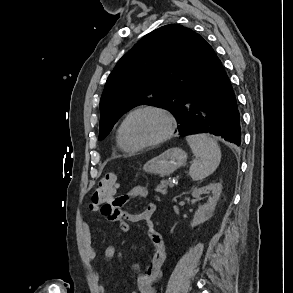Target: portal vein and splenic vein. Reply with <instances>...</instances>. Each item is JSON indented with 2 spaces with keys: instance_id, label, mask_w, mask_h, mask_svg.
<instances>
[{
  "instance_id": "1",
  "label": "portal vein and splenic vein",
  "mask_w": 293,
  "mask_h": 293,
  "mask_svg": "<svg viewBox=\"0 0 293 293\" xmlns=\"http://www.w3.org/2000/svg\"><path fill=\"white\" fill-rule=\"evenodd\" d=\"M175 182H170V187H174Z\"/></svg>"
}]
</instances>
